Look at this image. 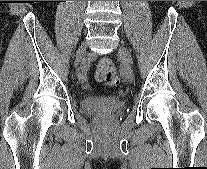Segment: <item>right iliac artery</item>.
Masks as SVG:
<instances>
[{
	"instance_id": "1",
	"label": "right iliac artery",
	"mask_w": 207,
	"mask_h": 169,
	"mask_svg": "<svg viewBox=\"0 0 207 169\" xmlns=\"http://www.w3.org/2000/svg\"><path fill=\"white\" fill-rule=\"evenodd\" d=\"M88 69V63L86 60L82 64V73L79 75V80L86 78V70Z\"/></svg>"
}]
</instances>
